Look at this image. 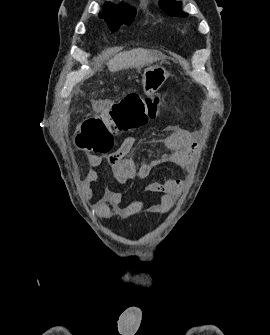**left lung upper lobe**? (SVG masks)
I'll return each instance as SVG.
<instances>
[{"mask_svg": "<svg viewBox=\"0 0 270 335\" xmlns=\"http://www.w3.org/2000/svg\"><path fill=\"white\" fill-rule=\"evenodd\" d=\"M159 6L170 16H187V14L182 12L181 5L178 2H165L161 0Z\"/></svg>", "mask_w": 270, "mask_h": 335, "instance_id": "obj_1", "label": "left lung upper lobe"}]
</instances>
